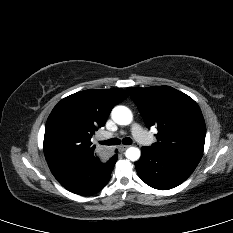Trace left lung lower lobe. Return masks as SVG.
I'll list each match as a JSON object with an SVG mask.
<instances>
[{"label": "left lung lower lobe", "mask_w": 233, "mask_h": 233, "mask_svg": "<svg viewBox=\"0 0 233 233\" xmlns=\"http://www.w3.org/2000/svg\"><path fill=\"white\" fill-rule=\"evenodd\" d=\"M135 162L139 177L150 187L168 190L184 182L197 167L202 155L185 151H159L141 148Z\"/></svg>", "instance_id": "0a47b994"}]
</instances>
